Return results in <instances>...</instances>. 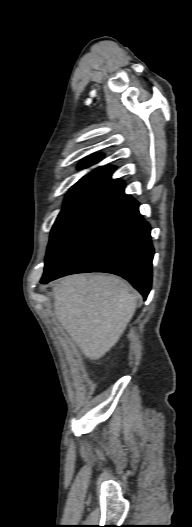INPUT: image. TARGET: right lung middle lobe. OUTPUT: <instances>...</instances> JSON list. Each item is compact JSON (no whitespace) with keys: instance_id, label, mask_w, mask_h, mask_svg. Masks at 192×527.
Masks as SVG:
<instances>
[{"instance_id":"dd1d6c3e","label":"right lung middle lobe","mask_w":192,"mask_h":527,"mask_svg":"<svg viewBox=\"0 0 192 527\" xmlns=\"http://www.w3.org/2000/svg\"><path fill=\"white\" fill-rule=\"evenodd\" d=\"M105 184L104 182H83L76 183L70 189L65 199L64 207L53 225L47 254L55 246L65 230L101 191Z\"/></svg>"}]
</instances>
